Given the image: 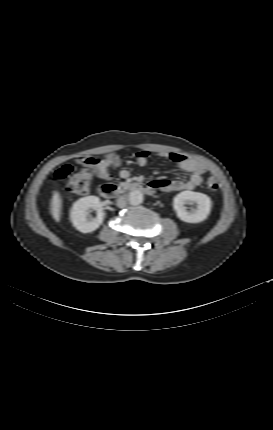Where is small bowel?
Returning <instances> with one entry per match:
<instances>
[{"mask_svg": "<svg viewBox=\"0 0 273 430\" xmlns=\"http://www.w3.org/2000/svg\"><path fill=\"white\" fill-rule=\"evenodd\" d=\"M152 153L147 150H142L136 154V162L139 166H145L148 163L149 158ZM155 155L167 158L172 162L176 163L177 166L190 174L189 178L186 180H166L158 179L151 183L154 188L159 189L164 192H173L181 190H192L199 186L203 180V174L206 172V168L197 161L191 160L176 152L160 151L156 152ZM80 159L86 160L87 166H89L93 173L104 180H110L112 174L110 171L111 167L118 168L122 165V159L119 155L115 153H109L103 158H93V157H81ZM121 178H128L130 176V171L127 169H121L119 171Z\"/></svg>", "mask_w": 273, "mask_h": 430, "instance_id": "1", "label": "small bowel"}]
</instances>
